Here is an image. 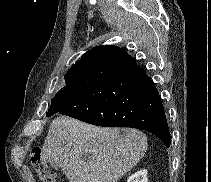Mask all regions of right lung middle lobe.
Wrapping results in <instances>:
<instances>
[{
	"label": "right lung middle lobe",
	"instance_id": "right-lung-middle-lobe-1",
	"mask_svg": "<svg viewBox=\"0 0 211 182\" xmlns=\"http://www.w3.org/2000/svg\"><path fill=\"white\" fill-rule=\"evenodd\" d=\"M82 70H83L82 66L72 67L71 69L68 70L67 74L64 76L65 85L57 91L55 98L52 99L51 107L48 113L46 114L47 117H50L55 113L54 111L56 102L66 98L73 91Z\"/></svg>",
	"mask_w": 211,
	"mask_h": 182
}]
</instances>
